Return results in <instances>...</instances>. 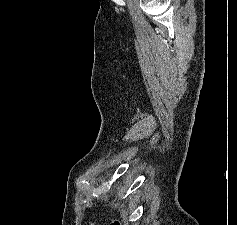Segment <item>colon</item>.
Instances as JSON below:
<instances>
[{
    "instance_id": "5ec220e1",
    "label": "colon",
    "mask_w": 237,
    "mask_h": 225,
    "mask_svg": "<svg viewBox=\"0 0 237 225\" xmlns=\"http://www.w3.org/2000/svg\"><path fill=\"white\" fill-rule=\"evenodd\" d=\"M112 225H122V224L119 221H115V222L112 223Z\"/></svg>"
}]
</instances>
